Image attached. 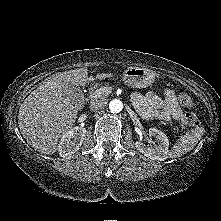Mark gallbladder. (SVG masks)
<instances>
[{"mask_svg": "<svg viewBox=\"0 0 221 221\" xmlns=\"http://www.w3.org/2000/svg\"><path fill=\"white\" fill-rule=\"evenodd\" d=\"M65 95L71 100L73 104L81 103L82 95H81V90L78 86L69 84L68 91Z\"/></svg>", "mask_w": 221, "mask_h": 221, "instance_id": "bac80fb5", "label": "gallbladder"}]
</instances>
